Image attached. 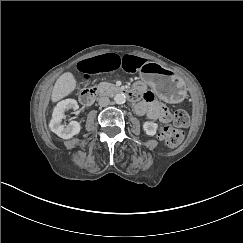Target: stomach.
Listing matches in <instances>:
<instances>
[{
	"instance_id": "stomach-1",
	"label": "stomach",
	"mask_w": 243,
	"mask_h": 243,
	"mask_svg": "<svg viewBox=\"0 0 243 243\" xmlns=\"http://www.w3.org/2000/svg\"><path fill=\"white\" fill-rule=\"evenodd\" d=\"M142 81L152 87L166 102L178 103L185 97V83L172 70L154 62H145L139 69Z\"/></svg>"
}]
</instances>
